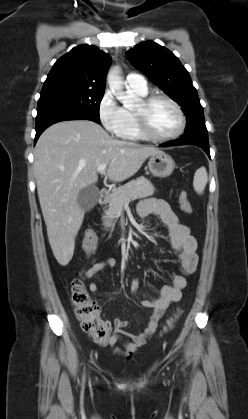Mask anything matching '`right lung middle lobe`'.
Instances as JSON below:
<instances>
[{
    "label": "right lung middle lobe",
    "mask_w": 248,
    "mask_h": 419,
    "mask_svg": "<svg viewBox=\"0 0 248 419\" xmlns=\"http://www.w3.org/2000/svg\"><path fill=\"white\" fill-rule=\"evenodd\" d=\"M104 91L80 87L42 88L37 114L51 111L76 110L84 112L100 122L99 107Z\"/></svg>",
    "instance_id": "obj_1"
}]
</instances>
